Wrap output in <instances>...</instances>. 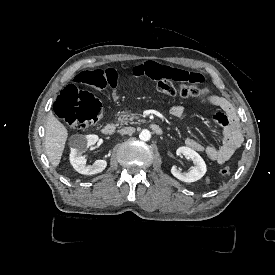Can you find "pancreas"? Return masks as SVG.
<instances>
[{
    "instance_id": "1",
    "label": "pancreas",
    "mask_w": 275,
    "mask_h": 275,
    "mask_svg": "<svg viewBox=\"0 0 275 275\" xmlns=\"http://www.w3.org/2000/svg\"><path fill=\"white\" fill-rule=\"evenodd\" d=\"M134 119H139L138 114L122 112V114L118 118V121L127 122V121H133ZM139 121L143 122L144 120H139ZM131 123L133 124L134 122H131Z\"/></svg>"
}]
</instances>
